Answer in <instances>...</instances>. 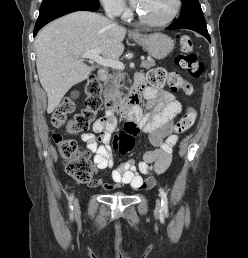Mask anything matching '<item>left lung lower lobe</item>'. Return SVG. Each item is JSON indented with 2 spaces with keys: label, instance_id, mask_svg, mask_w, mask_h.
Returning a JSON list of instances; mask_svg holds the SVG:
<instances>
[{
  "label": "left lung lower lobe",
  "instance_id": "0a47b994",
  "mask_svg": "<svg viewBox=\"0 0 248 258\" xmlns=\"http://www.w3.org/2000/svg\"><path fill=\"white\" fill-rule=\"evenodd\" d=\"M166 29L167 30H172V29H191V30H194V31L200 33L204 37H206L208 39V41L210 42V36L208 34V31H207L206 21H205L204 16L203 17L193 18V19H190V20H188L186 22H178V21L173 22Z\"/></svg>",
  "mask_w": 248,
  "mask_h": 258
}]
</instances>
